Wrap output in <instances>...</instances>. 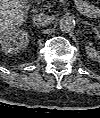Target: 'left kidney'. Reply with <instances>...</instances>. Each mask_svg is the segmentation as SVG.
Wrapping results in <instances>:
<instances>
[{
    "mask_svg": "<svg viewBox=\"0 0 100 118\" xmlns=\"http://www.w3.org/2000/svg\"><path fill=\"white\" fill-rule=\"evenodd\" d=\"M86 53L88 57L94 61H100V53L90 46H86Z\"/></svg>",
    "mask_w": 100,
    "mask_h": 118,
    "instance_id": "obj_1",
    "label": "left kidney"
}]
</instances>
